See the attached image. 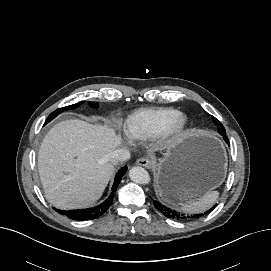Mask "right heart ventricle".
Wrapping results in <instances>:
<instances>
[{
  "label": "right heart ventricle",
  "instance_id": "right-heart-ventricle-1",
  "mask_svg": "<svg viewBox=\"0 0 271 271\" xmlns=\"http://www.w3.org/2000/svg\"><path fill=\"white\" fill-rule=\"evenodd\" d=\"M178 113L172 108L142 109L126 119L124 130L131 140H145L161 134Z\"/></svg>",
  "mask_w": 271,
  "mask_h": 271
}]
</instances>
